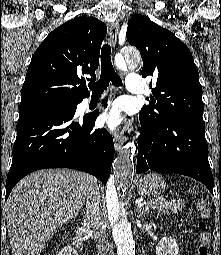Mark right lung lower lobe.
<instances>
[{"label":"right lung lower lobe","instance_id":"1","mask_svg":"<svg viewBox=\"0 0 221 255\" xmlns=\"http://www.w3.org/2000/svg\"><path fill=\"white\" fill-rule=\"evenodd\" d=\"M81 101L66 104L77 108ZM76 108L37 105L20 109L5 199L19 180L39 169H77L107 183L114 158L113 138L105 129H94L99 113L73 121Z\"/></svg>","mask_w":221,"mask_h":255}]
</instances>
